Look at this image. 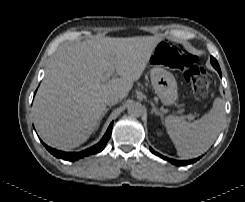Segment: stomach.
<instances>
[{
  "instance_id": "obj_1",
  "label": "stomach",
  "mask_w": 245,
  "mask_h": 202,
  "mask_svg": "<svg viewBox=\"0 0 245 202\" xmlns=\"http://www.w3.org/2000/svg\"><path fill=\"white\" fill-rule=\"evenodd\" d=\"M151 65L150 78L156 95L164 105H172L178 99L177 82L164 65V58L158 45L149 59Z\"/></svg>"
}]
</instances>
